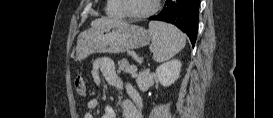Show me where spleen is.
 Listing matches in <instances>:
<instances>
[{
	"label": "spleen",
	"mask_w": 273,
	"mask_h": 118,
	"mask_svg": "<svg viewBox=\"0 0 273 118\" xmlns=\"http://www.w3.org/2000/svg\"><path fill=\"white\" fill-rule=\"evenodd\" d=\"M149 32L153 45V58L164 62L180 52L185 44V35L176 27L163 22L149 23Z\"/></svg>",
	"instance_id": "spleen-1"
}]
</instances>
